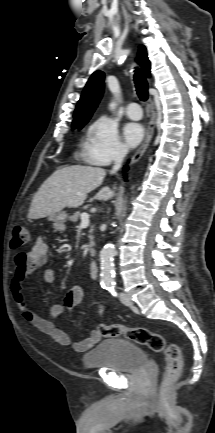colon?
Here are the masks:
<instances>
[{
  "mask_svg": "<svg viewBox=\"0 0 215 433\" xmlns=\"http://www.w3.org/2000/svg\"><path fill=\"white\" fill-rule=\"evenodd\" d=\"M32 242V236L27 226L21 223L15 224L11 245L14 249H19L29 245ZM97 331L103 337H119L135 342L136 344L148 347L154 352H160L164 355L167 366L163 378V388L166 389L169 384L180 374L182 370L181 349L177 344L167 343L163 336L146 328H131L122 324L100 323Z\"/></svg>",
  "mask_w": 215,
  "mask_h": 433,
  "instance_id": "5ec220e1",
  "label": "colon"
}]
</instances>
